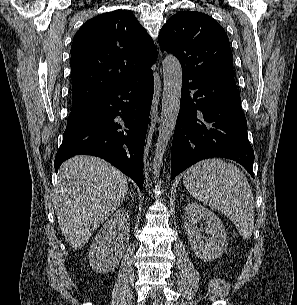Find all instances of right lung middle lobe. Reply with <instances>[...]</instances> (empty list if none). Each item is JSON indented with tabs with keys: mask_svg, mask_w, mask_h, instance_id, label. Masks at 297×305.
I'll return each mask as SVG.
<instances>
[{
	"mask_svg": "<svg viewBox=\"0 0 297 305\" xmlns=\"http://www.w3.org/2000/svg\"><path fill=\"white\" fill-rule=\"evenodd\" d=\"M82 104L83 103L73 104V106L71 107V110L76 109L77 107H79Z\"/></svg>",
	"mask_w": 297,
	"mask_h": 305,
	"instance_id": "1",
	"label": "right lung middle lobe"
}]
</instances>
